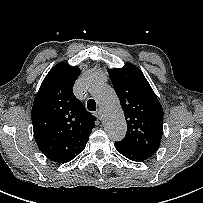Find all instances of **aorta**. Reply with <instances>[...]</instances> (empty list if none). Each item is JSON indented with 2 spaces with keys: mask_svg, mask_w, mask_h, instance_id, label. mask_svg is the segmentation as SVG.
<instances>
[{
  "mask_svg": "<svg viewBox=\"0 0 203 203\" xmlns=\"http://www.w3.org/2000/svg\"><path fill=\"white\" fill-rule=\"evenodd\" d=\"M87 88L101 109L102 120L108 137L113 141H121L126 134L127 124L114 89L97 77L88 79Z\"/></svg>",
  "mask_w": 203,
  "mask_h": 203,
  "instance_id": "obj_1",
  "label": "aorta"
}]
</instances>
